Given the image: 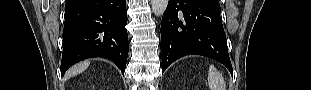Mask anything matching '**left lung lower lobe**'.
<instances>
[{
	"mask_svg": "<svg viewBox=\"0 0 311 90\" xmlns=\"http://www.w3.org/2000/svg\"><path fill=\"white\" fill-rule=\"evenodd\" d=\"M162 72L177 59L202 55L233 73L218 0H169L162 17Z\"/></svg>",
	"mask_w": 311,
	"mask_h": 90,
	"instance_id": "obj_1",
	"label": "left lung lower lobe"
}]
</instances>
